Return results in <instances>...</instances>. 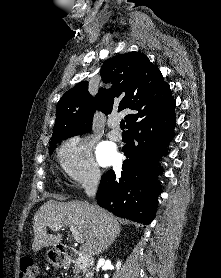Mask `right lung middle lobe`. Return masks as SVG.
<instances>
[{"mask_svg": "<svg viewBox=\"0 0 221 278\" xmlns=\"http://www.w3.org/2000/svg\"><path fill=\"white\" fill-rule=\"evenodd\" d=\"M55 146H56V145L50 146L49 154H52V151L54 150Z\"/></svg>", "mask_w": 221, "mask_h": 278, "instance_id": "1", "label": "right lung middle lobe"}]
</instances>
